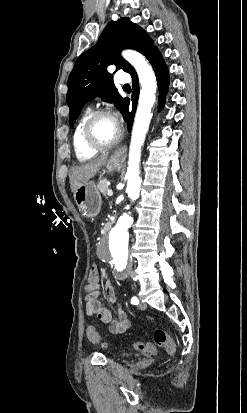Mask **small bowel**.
<instances>
[{"mask_svg": "<svg viewBox=\"0 0 247 413\" xmlns=\"http://www.w3.org/2000/svg\"><path fill=\"white\" fill-rule=\"evenodd\" d=\"M95 289H88L85 286L86 311L89 316H92L100 324L108 325L109 330L113 334L124 333L130 326L131 321L128 319L127 314L120 309V305L116 302V288L114 285L108 283L105 288V294L108 301L118 309V315L116 319L112 318L111 312L99 301L100 294V282H96Z\"/></svg>", "mask_w": 247, "mask_h": 413, "instance_id": "small-bowel-1", "label": "small bowel"}]
</instances>
